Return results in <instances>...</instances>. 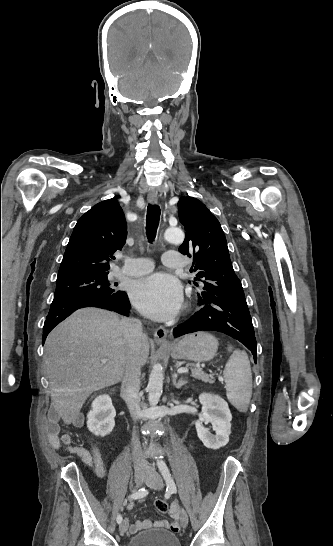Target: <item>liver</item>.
Wrapping results in <instances>:
<instances>
[{
	"instance_id": "obj_1",
	"label": "liver",
	"mask_w": 333,
	"mask_h": 546,
	"mask_svg": "<svg viewBox=\"0 0 333 546\" xmlns=\"http://www.w3.org/2000/svg\"><path fill=\"white\" fill-rule=\"evenodd\" d=\"M149 343L144 335L137 355L144 366ZM106 359V363L101 360ZM128 363V343L120 318L96 308L75 311L61 322L45 342V371L54 408L71 424L95 390L121 381Z\"/></svg>"
}]
</instances>
